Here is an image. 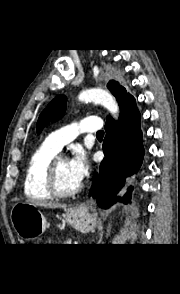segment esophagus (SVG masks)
Wrapping results in <instances>:
<instances>
[{
	"label": "esophagus",
	"mask_w": 180,
	"mask_h": 294,
	"mask_svg": "<svg viewBox=\"0 0 180 294\" xmlns=\"http://www.w3.org/2000/svg\"><path fill=\"white\" fill-rule=\"evenodd\" d=\"M92 204H93V201H92V200H89V201H87L86 203H80V204H77V205L74 207L73 211H74L75 213H84V212L87 211L88 206H89V205H92Z\"/></svg>",
	"instance_id": "1"
}]
</instances>
